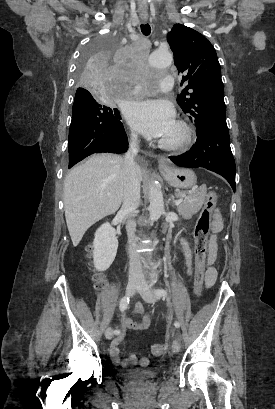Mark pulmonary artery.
<instances>
[{
    "mask_svg": "<svg viewBox=\"0 0 275 409\" xmlns=\"http://www.w3.org/2000/svg\"><path fill=\"white\" fill-rule=\"evenodd\" d=\"M159 86L161 88H164V92L166 94H171L173 92V88L175 86L174 77L172 75H170V74L166 75L165 79H161L159 81ZM132 93L133 94L143 95L144 89L142 90L141 86H135V87H133Z\"/></svg>",
    "mask_w": 275,
    "mask_h": 409,
    "instance_id": "obj_1",
    "label": "pulmonary artery"
}]
</instances>
